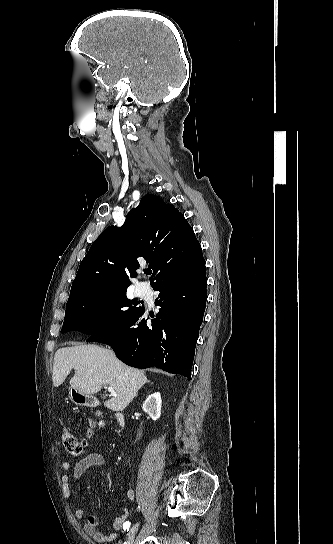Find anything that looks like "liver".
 <instances>
[{
    "label": "liver",
    "mask_w": 333,
    "mask_h": 544,
    "mask_svg": "<svg viewBox=\"0 0 333 544\" xmlns=\"http://www.w3.org/2000/svg\"><path fill=\"white\" fill-rule=\"evenodd\" d=\"M71 388L84 395L97 393L104 385L114 388L116 396L104 402L113 411H123L148 382L143 371L120 362L110 349L95 344L74 345L57 350L53 363V384L59 387L71 370Z\"/></svg>",
    "instance_id": "6515ba94"
}]
</instances>
